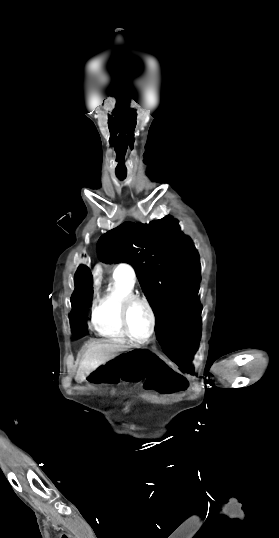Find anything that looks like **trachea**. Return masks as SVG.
<instances>
[{
	"label": "trachea",
	"instance_id": "3493384b",
	"mask_svg": "<svg viewBox=\"0 0 279 538\" xmlns=\"http://www.w3.org/2000/svg\"><path fill=\"white\" fill-rule=\"evenodd\" d=\"M118 179H120L121 181H123L125 179V177H119L118 176Z\"/></svg>",
	"mask_w": 279,
	"mask_h": 538
}]
</instances>
